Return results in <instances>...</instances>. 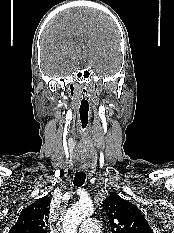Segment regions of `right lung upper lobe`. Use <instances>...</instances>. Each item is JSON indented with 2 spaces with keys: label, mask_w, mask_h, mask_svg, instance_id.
<instances>
[{
  "label": "right lung upper lobe",
  "mask_w": 174,
  "mask_h": 233,
  "mask_svg": "<svg viewBox=\"0 0 174 233\" xmlns=\"http://www.w3.org/2000/svg\"><path fill=\"white\" fill-rule=\"evenodd\" d=\"M50 202L45 196L25 208L9 233H46Z\"/></svg>",
  "instance_id": "right-lung-upper-lobe-1"
}]
</instances>
